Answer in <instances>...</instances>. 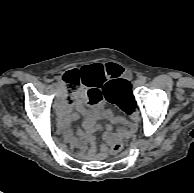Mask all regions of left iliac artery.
Segmentation results:
<instances>
[{
  "mask_svg": "<svg viewBox=\"0 0 194 193\" xmlns=\"http://www.w3.org/2000/svg\"><path fill=\"white\" fill-rule=\"evenodd\" d=\"M140 79H141L142 83H145L147 81V77H145V76H142Z\"/></svg>",
  "mask_w": 194,
  "mask_h": 193,
  "instance_id": "1",
  "label": "left iliac artery"
}]
</instances>
